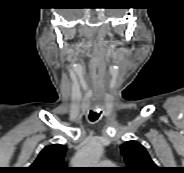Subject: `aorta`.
Returning a JSON list of instances; mask_svg holds the SVG:
<instances>
[{
  "label": "aorta",
  "instance_id": "762f6f07",
  "mask_svg": "<svg viewBox=\"0 0 184 173\" xmlns=\"http://www.w3.org/2000/svg\"><path fill=\"white\" fill-rule=\"evenodd\" d=\"M103 152V147L97 139H90L78 152L75 164L80 167H96Z\"/></svg>",
  "mask_w": 184,
  "mask_h": 173
}]
</instances>
